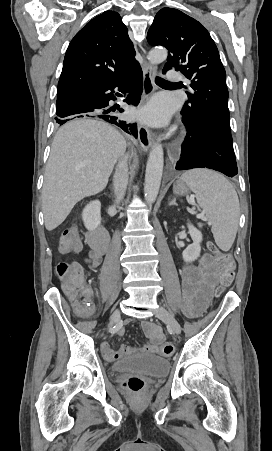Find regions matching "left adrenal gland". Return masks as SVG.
<instances>
[{"label": "left adrenal gland", "mask_w": 272, "mask_h": 451, "mask_svg": "<svg viewBox=\"0 0 272 451\" xmlns=\"http://www.w3.org/2000/svg\"><path fill=\"white\" fill-rule=\"evenodd\" d=\"M169 206H178V204H176V198H173L172 202H170Z\"/></svg>", "instance_id": "obj_1"}]
</instances>
